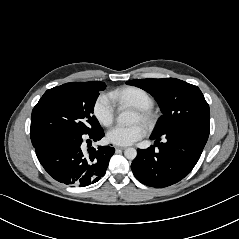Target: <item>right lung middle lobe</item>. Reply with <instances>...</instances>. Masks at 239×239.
<instances>
[{
    "instance_id": "right-lung-middle-lobe-1",
    "label": "right lung middle lobe",
    "mask_w": 239,
    "mask_h": 239,
    "mask_svg": "<svg viewBox=\"0 0 239 239\" xmlns=\"http://www.w3.org/2000/svg\"><path fill=\"white\" fill-rule=\"evenodd\" d=\"M103 82L66 83L47 90L31 115L30 136L33 146L50 133L71 131L88 134L101 129L92 115Z\"/></svg>"
}]
</instances>
